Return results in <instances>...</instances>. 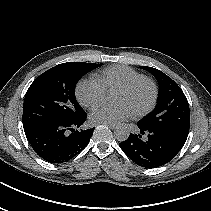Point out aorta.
Returning <instances> with one entry per match:
<instances>
[{"instance_id":"1","label":"aorta","mask_w":211,"mask_h":211,"mask_svg":"<svg viewBox=\"0 0 211 211\" xmlns=\"http://www.w3.org/2000/svg\"><path fill=\"white\" fill-rule=\"evenodd\" d=\"M114 137L118 141H125L129 137V130L126 127H123V126L118 127L114 131Z\"/></svg>"}]
</instances>
